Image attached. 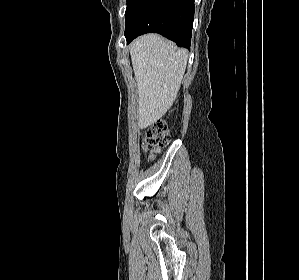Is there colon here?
<instances>
[{"label": "colon", "instance_id": "obj_1", "mask_svg": "<svg viewBox=\"0 0 299 280\" xmlns=\"http://www.w3.org/2000/svg\"><path fill=\"white\" fill-rule=\"evenodd\" d=\"M166 123L156 121L144 133L143 145L150 158H154L169 143Z\"/></svg>", "mask_w": 299, "mask_h": 280}]
</instances>
